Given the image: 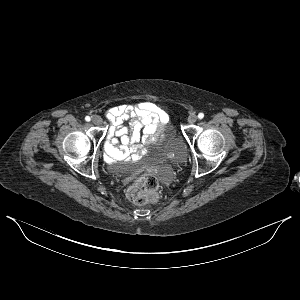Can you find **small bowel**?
Wrapping results in <instances>:
<instances>
[{
	"label": "small bowel",
	"mask_w": 300,
	"mask_h": 300,
	"mask_svg": "<svg viewBox=\"0 0 300 300\" xmlns=\"http://www.w3.org/2000/svg\"><path fill=\"white\" fill-rule=\"evenodd\" d=\"M106 117L110 128L105 153L111 161L139 156L146 145L157 140L168 122L167 113L148 101L114 106L107 110Z\"/></svg>",
	"instance_id": "1"
}]
</instances>
